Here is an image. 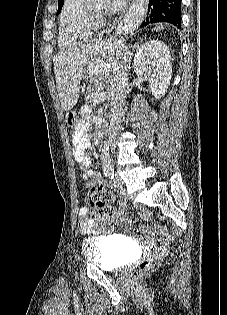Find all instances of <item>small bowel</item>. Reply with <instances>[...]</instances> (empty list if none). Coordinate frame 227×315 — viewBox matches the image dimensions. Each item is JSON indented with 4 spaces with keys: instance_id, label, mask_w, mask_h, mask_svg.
Wrapping results in <instances>:
<instances>
[{
    "instance_id": "small-bowel-1",
    "label": "small bowel",
    "mask_w": 227,
    "mask_h": 315,
    "mask_svg": "<svg viewBox=\"0 0 227 315\" xmlns=\"http://www.w3.org/2000/svg\"><path fill=\"white\" fill-rule=\"evenodd\" d=\"M84 119L79 123L75 131L73 132V155L78 166L82 170V178L87 180L92 178V184L99 186H106L102 183L99 175L90 167V160L86 154V149L89 146L88 139L85 135V130L88 126L89 120V111H84ZM126 210V204L124 201H119L116 207H113V214L110 224L115 221L122 219V216ZM79 223L78 228L82 233H99L102 228L100 221L95 220L90 212V209L86 206H83L78 211ZM109 224V225H110ZM140 229L147 235L152 236L153 234H165L166 229L164 227H156L154 229L148 227L144 223L140 225ZM168 245L167 240L159 241L155 243V247L159 250L165 249Z\"/></svg>"
}]
</instances>
